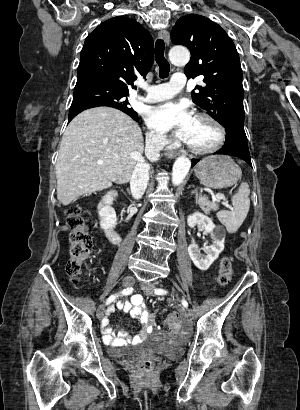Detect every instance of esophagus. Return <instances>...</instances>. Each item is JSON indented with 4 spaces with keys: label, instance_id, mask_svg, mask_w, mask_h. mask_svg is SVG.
I'll return each mask as SVG.
<instances>
[{
    "label": "esophagus",
    "instance_id": "1",
    "mask_svg": "<svg viewBox=\"0 0 300 410\" xmlns=\"http://www.w3.org/2000/svg\"><path fill=\"white\" fill-rule=\"evenodd\" d=\"M158 37H159L161 40H163L167 45L169 44L170 37H169V33H168L167 30H165V29L160 30V31L158 32ZM176 156H177V153H176V152H169V153L167 154V157H168V158H174V157H176Z\"/></svg>",
    "mask_w": 300,
    "mask_h": 410
}]
</instances>
